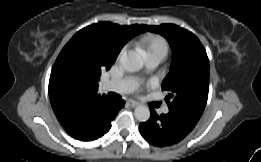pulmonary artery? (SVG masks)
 I'll return each instance as SVG.
<instances>
[{
	"instance_id": "pulmonary-artery-1",
	"label": "pulmonary artery",
	"mask_w": 261,
	"mask_h": 162,
	"mask_svg": "<svg viewBox=\"0 0 261 162\" xmlns=\"http://www.w3.org/2000/svg\"><path fill=\"white\" fill-rule=\"evenodd\" d=\"M164 59L162 55L153 54L147 57V66L149 68H154L159 65V63ZM137 82L133 78H125V79H110L107 80L103 88L106 91L124 94L130 93L135 89ZM164 114L169 112V108L167 105H164L161 109Z\"/></svg>"
}]
</instances>
